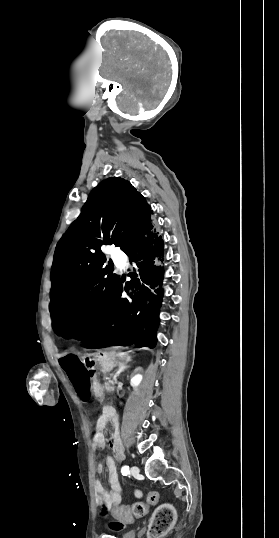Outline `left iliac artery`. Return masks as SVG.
<instances>
[{
  "instance_id": "left-iliac-artery-1",
  "label": "left iliac artery",
  "mask_w": 279,
  "mask_h": 538,
  "mask_svg": "<svg viewBox=\"0 0 279 538\" xmlns=\"http://www.w3.org/2000/svg\"><path fill=\"white\" fill-rule=\"evenodd\" d=\"M121 473L122 475H128L129 474V467L128 466H123L122 469H121Z\"/></svg>"
}]
</instances>
